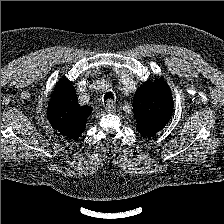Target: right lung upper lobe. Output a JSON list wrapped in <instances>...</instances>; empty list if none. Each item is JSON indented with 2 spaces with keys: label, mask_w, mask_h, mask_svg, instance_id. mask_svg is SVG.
Here are the masks:
<instances>
[{
  "label": "right lung upper lobe",
  "mask_w": 224,
  "mask_h": 224,
  "mask_svg": "<svg viewBox=\"0 0 224 224\" xmlns=\"http://www.w3.org/2000/svg\"><path fill=\"white\" fill-rule=\"evenodd\" d=\"M90 107L80 106L72 82L59 81L47 109L51 126L68 138H77L85 129Z\"/></svg>",
  "instance_id": "right-lung-upper-lobe-1"
}]
</instances>
